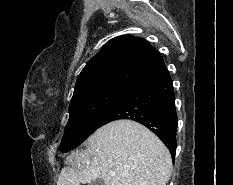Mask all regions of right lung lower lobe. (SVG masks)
<instances>
[{
	"instance_id": "98d812e1",
	"label": "right lung lower lobe",
	"mask_w": 233,
	"mask_h": 185,
	"mask_svg": "<svg viewBox=\"0 0 233 185\" xmlns=\"http://www.w3.org/2000/svg\"><path fill=\"white\" fill-rule=\"evenodd\" d=\"M118 119L145 125L170 149L174 161L178 119L173 85L166 68L131 89L99 127Z\"/></svg>"
}]
</instances>
